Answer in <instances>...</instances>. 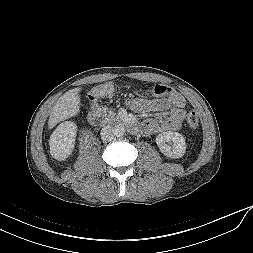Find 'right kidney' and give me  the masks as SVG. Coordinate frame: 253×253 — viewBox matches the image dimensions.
<instances>
[{"mask_svg": "<svg viewBox=\"0 0 253 253\" xmlns=\"http://www.w3.org/2000/svg\"><path fill=\"white\" fill-rule=\"evenodd\" d=\"M76 126L72 122L60 124L50 136V154L58 160H66L75 147Z\"/></svg>", "mask_w": 253, "mask_h": 253, "instance_id": "obj_1", "label": "right kidney"}]
</instances>
